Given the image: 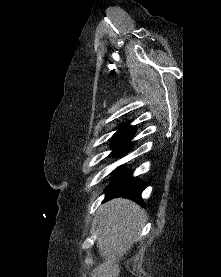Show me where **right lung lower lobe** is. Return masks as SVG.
<instances>
[{
	"mask_svg": "<svg viewBox=\"0 0 221 277\" xmlns=\"http://www.w3.org/2000/svg\"><path fill=\"white\" fill-rule=\"evenodd\" d=\"M142 191L143 185L138 179L132 177V172L121 170L115 181L106 190L107 194L104 201L115 197H125L143 205Z\"/></svg>",
	"mask_w": 221,
	"mask_h": 277,
	"instance_id": "98d812e1",
	"label": "right lung lower lobe"
}]
</instances>
